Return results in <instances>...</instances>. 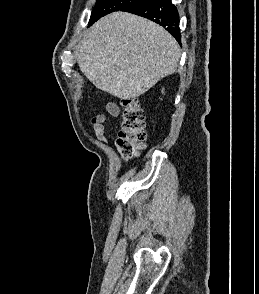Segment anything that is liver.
<instances>
[{"mask_svg":"<svg viewBox=\"0 0 259 294\" xmlns=\"http://www.w3.org/2000/svg\"><path fill=\"white\" fill-rule=\"evenodd\" d=\"M179 59L180 47L163 27L126 12L109 14L93 24L77 55L87 79L120 99L143 95L174 73Z\"/></svg>","mask_w":259,"mask_h":294,"instance_id":"6515ba94","label":"liver"}]
</instances>
